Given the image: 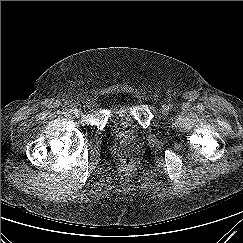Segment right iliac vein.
<instances>
[{"label":"right iliac vein","mask_w":243,"mask_h":243,"mask_svg":"<svg viewBox=\"0 0 243 243\" xmlns=\"http://www.w3.org/2000/svg\"><path fill=\"white\" fill-rule=\"evenodd\" d=\"M76 116H78V117H80V116H82L83 115V112L80 110V109H77V111H76V114H75Z\"/></svg>","instance_id":"1"}]
</instances>
